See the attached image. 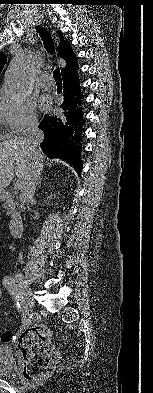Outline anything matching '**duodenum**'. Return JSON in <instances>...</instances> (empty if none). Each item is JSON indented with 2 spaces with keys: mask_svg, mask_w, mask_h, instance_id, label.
<instances>
[{
  "mask_svg": "<svg viewBox=\"0 0 153 393\" xmlns=\"http://www.w3.org/2000/svg\"><path fill=\"white\" fill-rule=\"evenodd\" d=\"M0 199L13 203V199L9 193H0ZM9 231L14 237L20 236L23 231L22 216L16 211L10 215Z\"/></svg>",
  "mask_w": 153,
  "mask_h": 393,
  "instance_id": "410a0bca",
  "label": "duodenum"
}]
</instances>
